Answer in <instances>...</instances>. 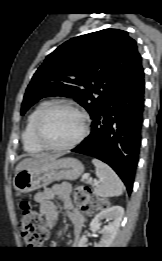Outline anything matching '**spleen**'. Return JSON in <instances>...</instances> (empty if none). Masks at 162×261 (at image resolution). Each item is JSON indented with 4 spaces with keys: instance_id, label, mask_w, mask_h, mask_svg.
<instances>
[{
    "instance_id": "spleen-1",
    "label": "spleen",
    "mask_w": 162,
    "mask_h": 261,
    "mask_svg": "<svg viewBox=\"0 0 162 261\" xmlns=\"http://www.w3.org/2000/svg\"><path fill=\"white\" fill-rule=\"evenodd\" d=\"M92 163L96 167V176L99 178L98 183L94 185V194L103 198L120 196L124 185L114 170L96 158Z\"/></svg>"
}]
</instances>
